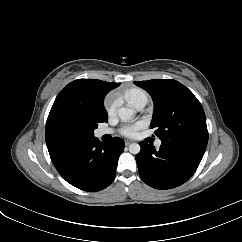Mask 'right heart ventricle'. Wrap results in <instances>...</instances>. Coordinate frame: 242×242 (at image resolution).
I'll use <instances>...</instances> for the list:
<instances>
[{"instance_id": "obj_1", "label": "right heart ventricle", "mask_w": 242, "mask_h": 242, "mask_svg": "<svg viewBox=\"0 0 242 242\" xmlns=\"http://www.w3.org/2000/svg\"><path fill=\"white\" fill-rule=\"evenodd\" d=\"M124 97L134 106L139 99H141L142 97H146V94L140 89L133 88L127 91Z\"/></svg>"}]
</instances>
